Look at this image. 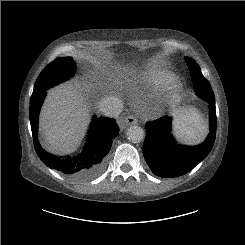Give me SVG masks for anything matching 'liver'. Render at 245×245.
Masks as SVG:
<instances>
[{
	"instance_id": "liver-1",
	"label": "liver",
	"mask_w": 245,
	"mask_h": 245,
	"mask_svg": "<svg viewBox=\"0 0 245 245\" xmlns=\"http://www.w3.org/2000/svg\"><path fill=\"white\" fill-rule=\"evenodd\" d=\"M92 86L87 81H75L49 91L40 115V130L49 151L68 154L80 143L89 122L85 95Z\"/></svg>"
}]
</instances>
